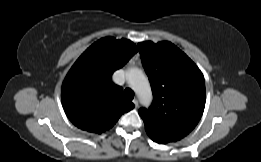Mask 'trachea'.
Wrapping results in <instances>:
<instances>
[{"label": "trachea", "mask_w": 261, "mask_h": 162, "mask_svg": "<svg viewBox=\"0 0 261 162\" xmlns=\"http://www.w3.org/2000/svg\"><path fill=\"white\" fill-rule=\"evenodd\" d=\"M124 97L126 100L131 101L134 98V92L131 89L126 88L124 90Z\"/></svg>", "instance_id": "1"}]
</instances>
